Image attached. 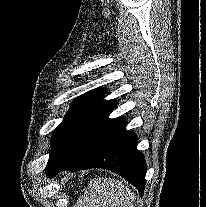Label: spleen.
<instances>
[{
	"mask_svg": "<svg viewBox=\"0 0 206 207\" xmlns=\"http://www.w3.org/2000/svg\"><path fill=\"white\" fill-rule=\"evenodd\" d=\"M135 194L122 181L98 178L90 182L74 207H134Z\"/></svg>",
	"mask_w": 206,
	"mask_h": 207,
	"instance_id": "1",
	"label": "spleen"
}]
</instances>
